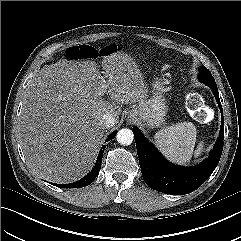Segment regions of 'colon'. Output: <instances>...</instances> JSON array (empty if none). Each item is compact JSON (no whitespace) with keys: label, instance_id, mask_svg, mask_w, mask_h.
<instances>
[{"label":"colon","instance_id":"5ec220e1","mask_svg":"<svg viewBox=\"0 0 241 241\" xmlns=\"http://www.w3.org/2000/svg\"><path fill=\"white\" fill-rule=\"evenodd\" d=\"M115 50V47L110 45L98 51L89 45L75 46L67 50L66 57L70 60L76 59H93L100 55H108ZM187 109L191 114L200 121L210 119L209 108L204 104L203 98L198 93H191L186 100Z\"/></svg>","mask_w":241,"mask_h":241}]
</instances>
